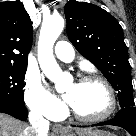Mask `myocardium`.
<instances>
[{
    "label": "myocardium",
    "mask_w": 136,
    "mask_h": 136,
    "mask_svg": "<svg viewBox=\"0 0 136 136\" xmlns=\"http://www.w3.org/2000/svg\"><path fill=\"white\" fill-rule=\"evenodd\" d=\"M88 81L99 82L105 87L109 96V105L107 110L104 113L97 116H93V117H88V116L79 114L71 105H70L69 111L73 115V117H75L79 121L86 122V123H98V122L106 120L114 113L117 106L116 93L111 83L103 76H100L97 74H87L82 76L79 79V82H88Z\"/></svg>",
    "instance_id": "f54148a6"
}]
</instances>
